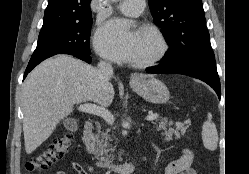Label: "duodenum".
<instances>
[{
	"mask_svg": "<svg viewBox=\"0 0 249 174\" xmlns=\"http://www.w3.org/2000/svg\"><path fill=\"white\" fill-rule=\"evenodd\" d=\"M93 131L94 123L87 120L83 125V144L86 148H89L93 143ZM138 164L139 160H134L124 164H109L105 168L114 174H131L137 168Z\"/></svg>",
	"mask_w": 249,
	"mask_h": 174,
	"instance_id": "obj_1",
	"label": "duodenum"
}]
</instances>
